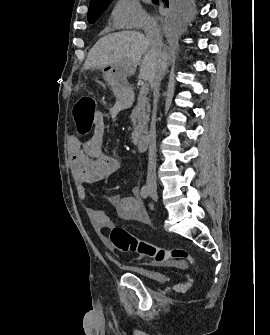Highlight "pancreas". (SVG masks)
I'll return each instance as SVG.
<instances>
[{
    "mask_svg": "<svg viewBox=\"0 0 270 335\" xmlns=\"http://www.w3.org/2000/svg\"><path fill=\"white\" fill-rule=\"evenodd\" d=\"M130 118L134 126V130L132 132V140L133 142H135V140H138L141 134H146V132H148L147 124L149 122V114L148 112H146V110H140V108H137L136 106Z\"/></svg>",
    "mask_w": 270,
    "mask_h": 335,
    "instance_id": "1",
    "label": "pancreas"
}]
</instances>
